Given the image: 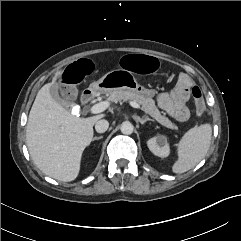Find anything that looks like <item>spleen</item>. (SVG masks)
Instances as JSON below:
<instances>
[{"mask_svg": "<svg viewBox=\"0 0 241 241\" xmlns=\"http://www.w3.org/2000/svg\"><path fill=\"white\" fill-rule=\"evenodd\" d=\"M211 137L212 128L208 123L188 130L176 144L178 159L173 164L172 171L181 174L195 167L207 154Z\"/></svg>", "mask_w": 241, "mask_h": 241, "instance_id": "obj_1", "label": "spleen"}]
</instances>
